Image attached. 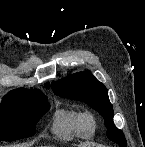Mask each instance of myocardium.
Here are the masks:
<instances>
[{"label":"myocardium","mask_w":145,"mask_h":147,"mask_svg":"<svg viewBox=\"0 0 145 147\" xmlns=\"http://www.w3.org/2000/svg\"><path fill=\"white\" fill-rule=\"evenodd\" d=\"M84 119L86 123L94 129L95 124H96V119L94 115L91 112H85Z\"/></svg>","instance_id":"1"}]
</instances>
